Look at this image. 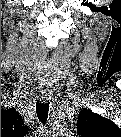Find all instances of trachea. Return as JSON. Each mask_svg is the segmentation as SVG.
I'll return each instance as SVG.
<instances>
[{"mask_svg": "<svg viewBox=\"0 0 121 137\" xmlns=\"http://www.w3.org/2000/svg\"><path fill=\"white\" fill-rule=\"evenodd\" d=\"M48 111H49V103H41L40 101L36 103V113L38 119L42 123L46 122L48 117Z\"/></svg>", "mask_w": 121, "mask_h": 137, "instance_id": "1", "label": "trachea"}]
</instances>
